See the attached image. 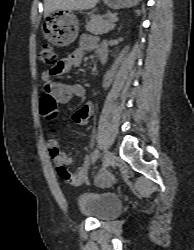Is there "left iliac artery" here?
<instances>
[{
  "instance_id": "44dca946",
  "label": "left iliac artery",
  "mask_w": 194,
  "mask_h": 250,
  "mask_svg": "<svg viewBox=\"0 0 194 250\" xmlns=\"http://www.w3.org/2000/svg\"><path fill=\"white\" fill-rule=\"evenodd\" d=\"M99 156V151L97 149L94 150L93 152V161H95Z\"/></svg>"
}]
</instances>
